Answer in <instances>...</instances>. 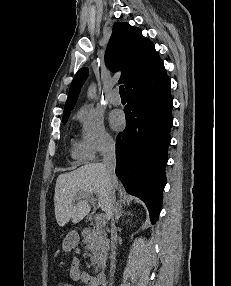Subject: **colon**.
<instances>
[{"instance_id":"5ec220e1","label":"colon","mask_w":231,"mask_h":286,"mask_svg":"<svg viewBox=\"0 0 231 286\" xmlns=\"http://www.w3.org/2000/svg\"><path fill=\"white\" fill-rule=\"evenodd\" d=\"M56 286H72V284H70L68 282H60V283L56 284Z\"/></svg>"}]
</instances>
